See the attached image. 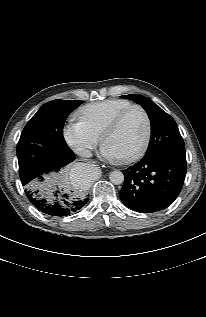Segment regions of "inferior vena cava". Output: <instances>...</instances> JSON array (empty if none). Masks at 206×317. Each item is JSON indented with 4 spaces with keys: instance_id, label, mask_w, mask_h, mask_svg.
<instances>
[{
    "instance_id": "1",
    "label": "inferior vena cava",
    "mask_w": 206,
    "mask_h": 317,
    "mask_svg": "<svg viewBox=\"0 0 206 317\" xmlns=\"http://www.w3.org/2000/svg\"><path fill=\"white\" fill-rule=\"evenodd\" d=\"M75 153L81 157L89 158L92 156V153L89 149L85 147H78L75 149Z\"/></svg>"
}]
</instances>
